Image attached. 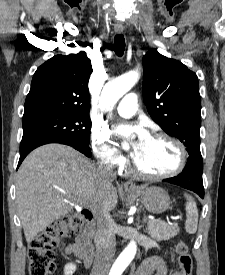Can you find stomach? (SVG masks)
<instances>
[{
  "instance_id": "obj_1",
  "label": "stomach",
  "mask_w": 225,
  "mask_h": 275,
  "mask_svg": "<svg viewBox=\"0 0 225 275\" xmlns=\"http://www.w3.org/2000/svg\"><path fill=\"white\" fill-rule=\"evenodd\" d=\"M129 193L139 196L144 208L153 214L165 212L171 204L167 192L156 186L137 188L135 191Z\"/></svg>"
}]
</instances>
